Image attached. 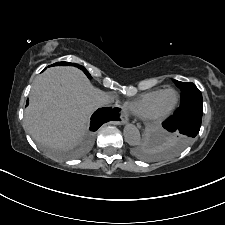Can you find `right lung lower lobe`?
Listing matches in <instances>:
<instances>
[{
	"label": "right lung lower lobe",
	"mask_w": 225,
	"mask_h": 225,
	"mask_svg": "<svg viewBox=\"0 0 225 225\" xmlns=\"http://www.w3.org/2000/svg\"><path fill=\"white\" fill-rule=\"evenodd\" d=\"M28 103V102H27ZM118 114L116 110L111 108H100L98 109L91 118L90 129L96 131L103 123L114 119Z\"/></svg>",
	"instance_id": "98d812e1"
}]
</instances>
